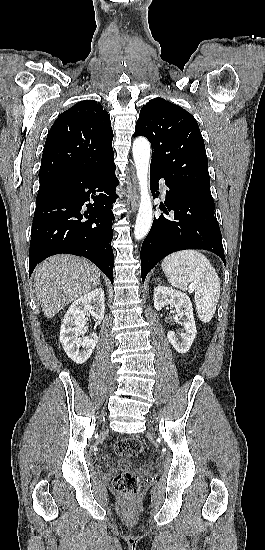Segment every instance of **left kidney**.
<instances>
[{"label":"left kidney","instance_id":"obj_1","mask_svg":"<svg viewBox=\"0 0 265 550\" xmlns=\"http://www.w3.org/2000/svg\"><path fill=\"white\" fill-rule=\"evenodd\" d=\"M167 305L175 307L183 326V329L178 332L179 338L174 331H168V340L177 352L185 354L189 351L197 333L191 300L185 293L171 287H155V309L159 311Z\"/></svg>","mask_w":265,"mask_h":550}]
</instances>
